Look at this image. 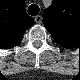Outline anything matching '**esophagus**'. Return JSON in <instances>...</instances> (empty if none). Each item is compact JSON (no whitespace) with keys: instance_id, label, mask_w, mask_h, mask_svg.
<instances>
[{"instance_id":"esophagus-1","label":"esophagus","mask_w":80,"mask_h":80,"mask_svg":"<svg viewBox=\"0 0 80 80\" xmlns=\"http://www.w3.org/2000/svg\"><path fill=\"white\" fill-rule=\"evenodd\" d=\"M35 22L36 23H41L42 22V17L40 15L35 16Z\"/></svg>"}]
</instances>
